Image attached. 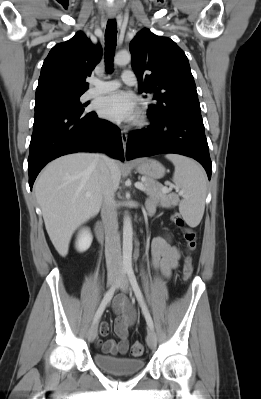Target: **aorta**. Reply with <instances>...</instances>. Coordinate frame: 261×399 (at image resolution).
Instances as JSON below:
<instances>
[{
  "label": "aorta",
  "mask_w": 261,
  "mask_h": 399,
  "mask_svg": "<svg viewBox=\"0 0 261 399\" xmlns=\"http://www.w3.org/2000/svg\"><path fill=\"white\" fill-rule=\"evenodd\" d=\"M131 61V54L128 52H119L114 57V63L117 65H126ZM133 228L132 220L129 215L124 217L123 221V265L130 267L132 264L133 249Z\"/></svg>",
  "instance_id": "762f6f07"
}]
</instances>
